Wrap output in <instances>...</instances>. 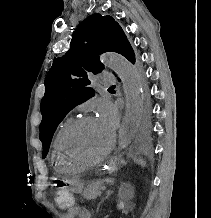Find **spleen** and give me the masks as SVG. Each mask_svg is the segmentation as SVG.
Returning <instances> with one entry per match:
<instances>
[{
	"instance_id": "spleen-1",
	"label": "spleen",
	"mask_w": 211,
	"mask_h": 218,
	"mask_svg": "<svg viewBox=\"0 0 211 218\" xmlns=\"http://www.w3.org/2000/svg\"><path fill=\"white\" fill-rule=\"evenodd\" d=\"M134 162H136V164H139V166H145V162H143V160H141V158H134Z\"/></svg>"
}]
</instances>
